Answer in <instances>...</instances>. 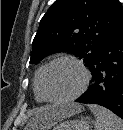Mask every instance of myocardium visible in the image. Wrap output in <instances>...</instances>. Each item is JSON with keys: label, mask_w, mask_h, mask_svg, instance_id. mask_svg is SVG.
<instances>
[{"label": "myocardium", "mask_w": 123, "mask_h": 130, "mask_svg": "<svg viewBox=\"0 0 123 130\" xmlns=\"http://www.w3.org/2000/svg\"><path fill=\"white\" fill-rule=\"evenodd\" d=\"M59 61L73 62L81 69V71L83 73V82H82L80 88L78 89V91L75 94H73L72 96H69L67 98H61V99L50 97L45 88V76H46L48 69L53 64H55L56 62H59ZM90 79H91L90 71L88 70V68L83 63L82 60H80L79 58H77L73 55H69V54L58 55V56L54 57L53 59H51L49 62H47L42 68V71L40 74V79H39L40 93L45 101L55 103V104L69 103V102H72V101L78 99L85 92V90L87 89V87L90 83Z\"/></svg>", "instance_id": "f54148a6"}]
</instances>
